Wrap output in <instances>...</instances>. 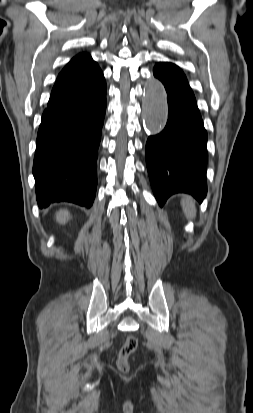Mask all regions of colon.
<instances>
[{
	"instance_id": "5ec220e1",
	"label": "colon",
	"mask_w": 253,
	"mask_h": 413,
	"mask_svg": "<svg viewBox=\"0 0 253 413\" xmlns=\"http://www.w3.org/2000/svg\"><path fill=\"white\" fill-rule=\"evenodd\" d=\"M138 346V341L134 336H127L120 351L118 357L119 369L123 372L128 370V358L132 355Z\"/></svg>"
}]
</instances>
